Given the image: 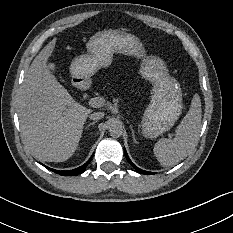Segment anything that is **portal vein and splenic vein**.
Masks as SVG:
<instances>
[{"instance_id": "18ae733b", "label": "portal vein and splenic vein", "mask_w": 233, "mask_h": 233, "mask_svg": "<svg viewBox=\"0 0 233 233\" xmlns=\"http://www.w3.org/2000/svg\"><path fill=\"white\" fill-rule=\"evenodd\" d=\"M105 99L103 97H94L89 100V105L94 108L103 107L105 105Z\"/></svg>"}]
</instances>
